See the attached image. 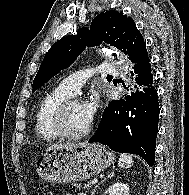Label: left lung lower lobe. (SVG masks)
<instances>
[{
  "label": "left lung lower lobe",
  "mask_w": 189,
  "mask_h": 195,
  "mask_svg": "<svg viewBox=\"0 0 189 195\" xmlns=\"http://www.w3.org/2000/svg\"><path fill=\"white\" fill-rule=\"evenodd\" d=\"M131 76L136 83L134 88L124 99L109 103L89 142H99L117 152L139 155L153 166L159 103L148 57L133 66Z\"/></svg>",
  "instance_id": "left-lung-lower-lobe-1"
}]
</instances>
